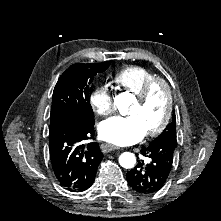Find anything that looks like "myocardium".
<instances>
[{
  "mask_svg": "<svg viewBox=\"0 0 221 221\" xmlns=\"http://www.w3.org/2000/svg\"><path fill=\"white\" fill-rule=\"evenodd\" d=\"M158 87H162L166 93V100H167L166 113L163 119L161 120V122L155 128L146 132V136L148 137H154L162 133L165 130V128L168 126L173 113L172 90L169 83L162 78H155L147 82V84L144 86L142 91L136 96L137 103L140 106H143L149 99L152 92Z\"/></svg>",
  "mask_w": 221,
  "mask_h": 221,
  "instance_id": "f54148a6",
  "label": "myocardium"
}]
</instances>
